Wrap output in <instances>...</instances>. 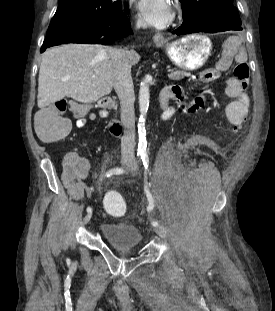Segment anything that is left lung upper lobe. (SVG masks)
Masks as SVG:
<instances>
[{
  "instance_id": "1",
  "label": "left lung upper lobe",
  "mask_w": 275,
  "mask_h": 311,
  "mask_svg": "<svg viewBox=\"0 0 275 311\" xmlns=\"http://www.w3.org/2000/svg\"><path fill=\"white\" fill-rule=\"evenodd\" d=\"M183 21H190L208 14H226L235 22H241L233 0H180Z\"/></svg>"
}]
</instances>
